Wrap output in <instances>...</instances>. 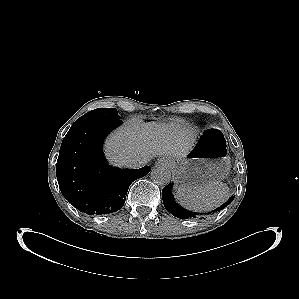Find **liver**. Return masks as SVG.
I'll use <instances>...</instances> for the list:
<instances>
[{"mask_svg": "<svg viewBox=\"0 0 299 299\" xmlns=\"http://www.w3.org/2000/svg\"><path fill=\"white\" fill-rule=\"evenodd\" d=\"M197 131L180 124L132 122L107 139L105 150L112 163L126 166L134 158L167 156L181 159L192 149Z\"/></svg>", "mask_w": 299, "mask_h": 299, "instance_id": "obj_1", "label": "liver"}]
</instances>
